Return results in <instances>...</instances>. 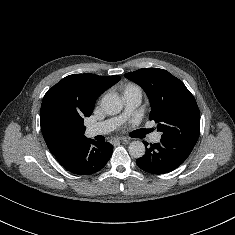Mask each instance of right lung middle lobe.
I'll list each match as a JSON object with an SVG mask.
<instances>
[{
  "label": "right lung middle lobe",
  "instance_id": "1",
  "mask_svg": "<svg viewBox=\"0 0 235 235\" xmlns=\"http://www.w3.org/2000/svg\"><path fill=\"white\" fill-rule=\"evenodd\" d=\"M79 122H80L81 125H83V120H80Z\"/></svg>",
  "mask_w": 235,
  "mask_h": 235
}]
</instances>
